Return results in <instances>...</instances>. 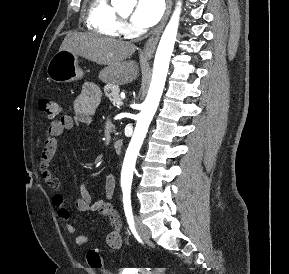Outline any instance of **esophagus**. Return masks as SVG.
I'll return each instance as SVG.
<instances>
[{"label":"esophagus","instance_id":"34e87169","mask_svg":"<svg viewBox=\"0 0 289 274\" xmlns=\"http://www.w3.org/2000/svg\"><path fill=\"white\" fill-rule=\"evenodd\" d=\"M171 7H172V0H166V11L164 13V16H163L160 24L158 25V27L153 31L152 35L147 40V42H146V44L142 50V54L144 56L153 55V53L156 49L159 37L161 35V32H162V30L166 24V21L168 19L169 14H170Z\"/></svg>","mask_w":289,"mask_h":274}]
</instances>
